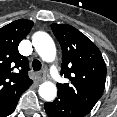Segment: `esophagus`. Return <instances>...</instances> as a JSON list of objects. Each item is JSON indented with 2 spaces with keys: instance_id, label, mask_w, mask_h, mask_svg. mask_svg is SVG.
<instances>
[{
  "instance_id": "1",
  "label": "esophagus",
  "mask_w": 117,
  "mask_h": 117,
  "mask_svg": "<svg viewBox=\"0 0 117 117\" xmlns=\"http://www.w3.org/2000/svg\"><path fill=\"white\" fill-rule=\"evenodd\" d=\"M46 78V73L45 71H41L39 74H38V79L39 81H44Z\"/></svg>"
}]
</instances>
